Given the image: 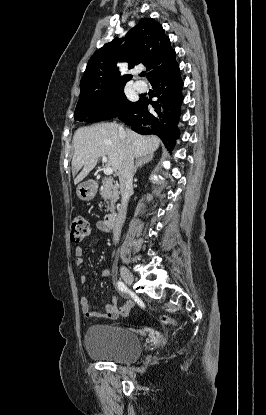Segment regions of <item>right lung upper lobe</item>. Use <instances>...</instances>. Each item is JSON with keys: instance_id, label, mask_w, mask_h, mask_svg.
I'll return each instance as SVG.
<instances>
[{"instance_id": "cb5924a9", "label": "right lung upper lobe", "mask_w": 266, "mask_h": 415, "mask_svg": "<svg viewBox=\"0 0 266 415\" xmlns=\"http://www.w3.org/2000/svg\"><path fill=\"white\" fill-rule=\"evenodd\" d=\"M123 39L115 38L97 50L90 58L80 82V98L124 86L132 75H120L117 59L128 62L129 69L144 64L148 80L164 73L175 65V50L162 26L152 18H143Z\"/></svg>"}]
</instances>
